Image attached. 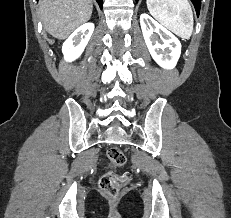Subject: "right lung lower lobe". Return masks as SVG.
Returning <instances> with one entry per match:
<instances>
[{
	"label": "right lung lower lobe",
	"mask_w": 231,
	"mask_h": 218,
	"mask_svg": "<svg viewBox=\"0 0 231 218\" xmlns=\"http://www.w3.org/2000/svg\"><path fill=\"white\" fill-rule=\"evenodd\" d=\"M97 3L99 4L100 8L102 9V5H103V0H96Z\"/></svg>",
	"instance_id": "right-lung-lower-lobe-1"
}]
</instances>
